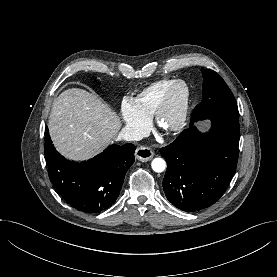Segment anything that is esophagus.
Masks as SVG:
<instances>
[{"instance_id":"34e87169","label":"esophagus","mask_w":277,"mask_h":277,"mask_svg":"<svg viewBox=\"0 0 277 277\" xmlns=\"http://www.w3.org/2000/svg\"><path fill=\"white\" fill-rule=\"evenodd\" d=\"M154 156V152L150 147H139L135 152V157L137 160L146 162L149 161Z\"/></svg>"}]
</instances>
